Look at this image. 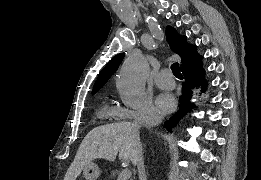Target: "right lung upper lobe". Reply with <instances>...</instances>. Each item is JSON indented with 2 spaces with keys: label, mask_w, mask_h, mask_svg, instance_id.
<instances>
[{
  "label": "right lung upper lobe",
  "mask_w": 261,
  "mask_h": 180,
  "mask_svg": "<svg viewBox=\"0 0 261 180\" xmlns=\"http://www.w3.org/2000/svg\"><path fill=\"white\" fill-rule=\"evenodd\" d=\"M166 38L171 49L181 56V70L199 63L202 56L197 53L196 45H190L186 41V37L177 35L174 28L168 26L166 29ZM124 58V54L114 56L99 74L97 81L93 87L92 94H95L117 70L119 64Z\"/></svg>",
  "instance_id": "obj_1"
}]
</instances>
